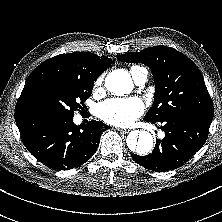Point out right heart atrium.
<instances>
[{
	"label": "right heart atrium",
	"instance_id": "1",
	"mask_svg": "<svg viewBox=\"0 0 222 222\" xmlns=\"http://www.w3.org/2000/svg\"><path fill=\"white\" fill-rule=\"evenodd\" d=\"M100 84V80H98L97 82H96V86H98Z\"/></svg>",
	"mask_w": 222,
	"mask_h": 222
}]
</instances>
